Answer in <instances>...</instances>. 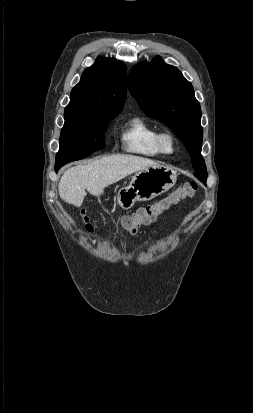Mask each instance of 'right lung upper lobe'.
<instances>
[{
	"instance_id": "1",
	"label": "right lung upper lobe",
	"mask_w": 253,
	"mask_h": 413,
	"mask_svg": "<svg viewBox=\"0 0 253 413\" xmlns=\"http://www.w3.org/2000/svg\"><path fill=\"white\" fill-rule=\"evenodd\" d=\"M126 66L115 59L98 57L72 89L65 120L89 119L118 114L126 100Z\"/></svg>"
}]
</instances>
